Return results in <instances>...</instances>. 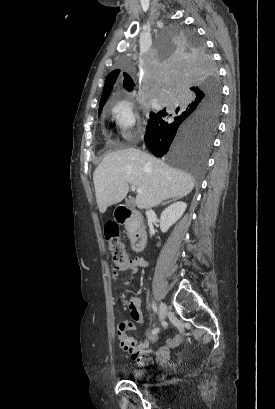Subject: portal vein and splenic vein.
<instances>
[{"label": "portal vein and splenic vein", "mask_w": 275, "mask_h": 409, "mask_svg": "<svg viewBox=\"0 0 275 409\" xmlns=\"http://www.w3.org/2000/svg\"><path fill=\"white\" fill-rule=\"evenodd\" d=\"M132 190H136V192H143L141 188H136V186H131Z\"/></svg>", "instance_id": "18ae733b"}]
</instances>
